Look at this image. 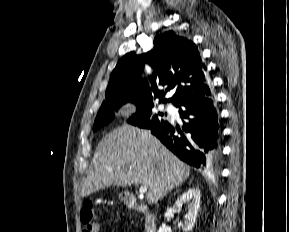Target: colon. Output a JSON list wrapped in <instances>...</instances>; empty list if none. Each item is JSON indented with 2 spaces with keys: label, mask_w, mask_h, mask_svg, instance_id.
<instances>
[{
  "label": "colon",
  "mask_w": 289,
  "mask_h": 232,
  "mask_svg": "<svg viewBox=\"0 0 289 232\" xmlns=\"http://www.w3.org/2000/svg\"><path fill=\"white\" fill-rule=\"evenodd\" d=\"M80 219L84 225L82 232H98V226L95 222V215L91 202H86L81 210Z\"/></svg>",
  "instance_id": "obj_1"
}]
</instances>
